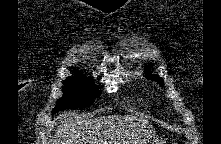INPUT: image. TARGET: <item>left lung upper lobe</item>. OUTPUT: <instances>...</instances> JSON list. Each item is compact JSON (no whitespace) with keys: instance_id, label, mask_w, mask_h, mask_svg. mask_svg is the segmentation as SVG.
<instances>
[{"instance_id":"obj_1","label":"left lung upper lobe","mask_w":221,"mask_h":144,"mask_svg":"<svg viewBox=\"0 0 221 144\" xmlns=\"http://www.w3.org/2000/svg\"><path fill=\"white\" fill-rule=\"evenodd\" d=\"M148 67H151V65H149ZM148 67H147V68H148ZM145 72L148 73V74L146 75V78L151 79V80H154V81H157L162 87L164 86V84H163V79H162V78L158 77L157 75H152V74L149 72V70H146Z\"/></svg>"}]
</instances>
